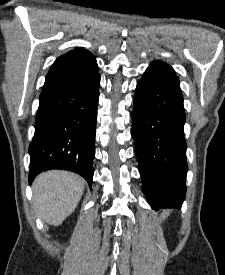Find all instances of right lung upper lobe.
<instances>
[{
  "mask_svg": "<svg viewBox=\"0 0 225 275\" xmlns=\"http://www.w3.org/2000/svg\"><path fill=\"white\" fill-rule=\"evenodd\" d=\"M98 66L87 50L76 48L58 57L52 64L40 97L66 89L85 88L95 81Z\"/></svg>",
  "mask_w": 225,
  "mask_h": 275,
  "instance_id": "1",
  "label": "right lung upper lobe"
}]
</instances>
